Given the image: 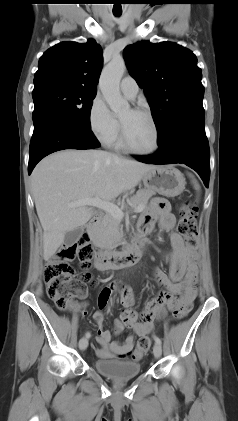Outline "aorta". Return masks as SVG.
<instances>
[{
  "mask_svg": "<svg viewBox=\"0 0 238 421\" xmlns=\"http://www.w3.org/2000/svg\"><path fill=\"white\" fill-rule=\"evenodd\" d=\"M126 71L123 58H113L103 69L100 77V90L109 107L115 113L129 108L120 93V81Z\"/></svg>",
  "mask_w": 238,
  "mask_h": 421,
  "instance_id": "obj_1",
  "label": "aorta"
}]
</instances>
